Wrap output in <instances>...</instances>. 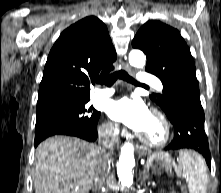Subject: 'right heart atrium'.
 Instances as JSON below:
<instances>
[{
  "instance_id": "right-heart-atrium-1",
  "label": "right heart atrium",
  "mask_w": 221,
  "mask_h": 193,
  "mask_svg": "<svg viewBox=\"0 0 221 193\" xmlns=\"http://www.w3.org/2000/svg\"><path fill=\"white\" fill-rule=\"evenodd\" d=\"M99 133L102 138L116 140L120 135V130L116 124L104 121L99 128Z\"/></svg>"
}]
</instances>
